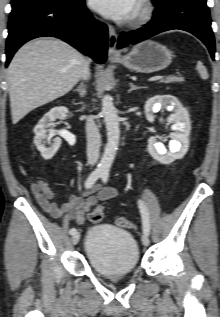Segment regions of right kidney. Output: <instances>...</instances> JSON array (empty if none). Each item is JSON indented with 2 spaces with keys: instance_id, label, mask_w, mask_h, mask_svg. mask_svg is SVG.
<instances>
[{
  "instance_id": "ca27d5eb",
  "label": "right kidney",
  "mask_w": 220,
  "mask_h": 317,
  "mask_svg": "<svg viewBox=\"0 0 220 317\" xmlns=\"http://www.w3.org/2000/svg\"><path fill=\"white\" fill-rule=\"evenodd\" d=\"M67 113L68 109L64 106L54 107L48 113H46L34 127V144L45 160L51 159L61 146V139L59 137L54 139V142L50 147L47 148L44 145V138L47 133L45 130V124L47 122L55 121L56 119H64L67 117Z\"/></svg>"
}]
</instances>
